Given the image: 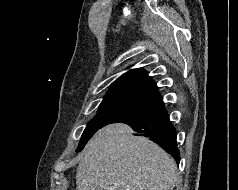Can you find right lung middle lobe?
<instances>
[{
	"mask_svg": "<svg viewBox=\"0 0 238 190\" xmlns=\"http://www.w3.org/2000/svg\"><path fill=\"white\" fill-rule=\"evenodd\" d=\"M153 106H155L153 103L132 97L104 98L96 116L85 128L77 151H81L94 133L102 127L112 123H122L143 114Z\"/></svg>",
	"mask_w": 238,
	"mask_h": 190,
	"instance_id": "1",
	"label": "right lung middle lobe"
}]
</instances>
